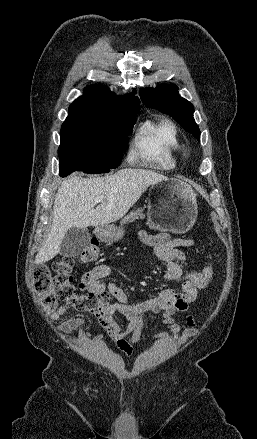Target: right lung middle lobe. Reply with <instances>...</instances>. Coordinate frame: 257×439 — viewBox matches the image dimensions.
I'll use <instances>...</instances> for the list:
<instances>
[{"label": "right lung middle lobe", "instance_id": "right-lung-middle-lobe-1", "mask_svg": "<svg viewBox=\"0 0 257 439\" xmlns=\"http://www.w3.org/2000/svg\"><path fill=\"white\" fill-rule=\"evenodd\" d=\"M136 113L118 119L68 116L61 127L60 175L65 177L76 170L106 173L116 168L122 161Z\"/></svg>", "mask_w": 257, "mask_h": 439}]
</instances>
